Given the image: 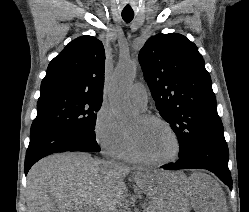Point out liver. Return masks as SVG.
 <instances>
[{
  "label": "liver",
  "mask_w": 249,
  "mask_h": 212,
  "mask_svg": "<svg viewBox=\"0 0 249 212\" xmlns=\"http://www.w3.org/2000/svg\"><path fill=\"white\" fill-rule=\"evenodd\" d=\"M132 168L95 160L90 154H53L32 166L27 174L26 204L29 212H115L126 190L124 178ZM135 184L159 206L160 212H227L226 196L218 182L194 172H137Z\"/></svg>",
  "instance_id": "liver-1"
}]
</instances>
